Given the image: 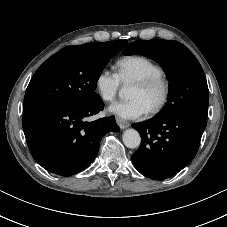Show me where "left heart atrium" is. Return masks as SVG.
I'll list each match as a JSON object with an SVG mask.
<instances>
[{"label": "left heart atrium", "instance_id": "obj_1", "mask_svg": "<svg viewBox=\"0 0 227 227\" xmlns=\"http://www.w3.org/2000/svg\"><path fill=\"white\" fill-rule=\"evenodd\" d=\"M108 112L120 119H138L148 113V109L140 99L117 101L108 107Z\"/></svg>", "mask_w": 227, "mask_h": 227}]
</instances>
